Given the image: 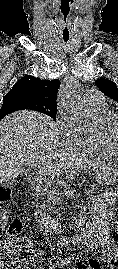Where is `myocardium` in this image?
<instances>
[{
	"mask_svg": "<svg viewBox=\"0 0 118 269\" xmlns=\"http://www.w3.org/2000/svg\"><path fill=\"white\" fill-rule=\"evenodd\" d=\"M117 124H118V112L112 114L107 120L103 122L102 129L110 146L118 154V141L116 142L114 137V130Z\"/></svg>",
	"mask_w": 118,
	"mask_h": 269,
	"instance_id": "myocardium-1",
	"label": "myocardium"
}]
</instances>
